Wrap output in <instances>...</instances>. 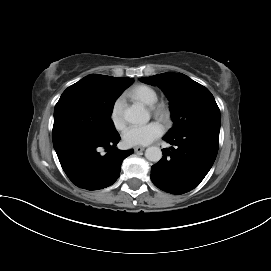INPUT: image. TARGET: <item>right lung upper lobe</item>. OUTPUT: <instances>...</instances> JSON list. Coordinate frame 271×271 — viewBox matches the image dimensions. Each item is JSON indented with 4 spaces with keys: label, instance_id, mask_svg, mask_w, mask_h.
Returning a JSON list of instances; mask_svg holds the SVG:
<instances>
[{
    "label": "right lung upper lobe",
    "instance_id": "1",
    "mask_svg": "<svg viewBox=\"0 0 271 271\" xmlns=\"http://www.w3.org/2000/svg\"><path fill=\"white\" fill-rule=\"evenodd\" d=\"M89 77L97 80L100 83L106 85H115V86H129L132 84V80L130 78H116L105 75L93 74L89 75Z\"/></svg>",
    "mask_w": 271,
    "mask_h": 271
}]
</instances>
